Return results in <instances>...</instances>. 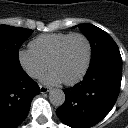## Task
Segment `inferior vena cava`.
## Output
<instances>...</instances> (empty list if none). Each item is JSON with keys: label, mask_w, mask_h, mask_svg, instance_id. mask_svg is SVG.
<instances>
[{"label": "inferior vena cava", "mask_w": 128, "mask_h": 128, "mask_svg": "<svg viewBox=\"0 0 128 128\" xmlns=\"http://www.w3.org/2000/svg\"><path fill=\"white\" fill-rule=\"evenodd\" d=\"M29 75L32 76V77H36L37 76V73L34 72V71H31V72H29Z\"/></svg>", "instance_id": "obj_1"}]
</instances>
